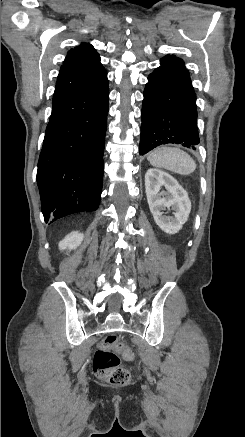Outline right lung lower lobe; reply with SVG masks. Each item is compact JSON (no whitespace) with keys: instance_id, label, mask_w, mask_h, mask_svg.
<instances>
[{"instance_id":"98d812e1","label":"right lung lower lobe","mask_w":245,"mask_h":437,"mask_svg":"<svg viewBox=\"0 0 245 437\" xmlns=\"http://www.w3.org/2000/svg\"><path fill=\"white\" fill-rule=\"evenodd\" d=\"M109 87L53 99L38 162L37 183L45 222L99 207Z\"/></svg>"}]
</instances>
